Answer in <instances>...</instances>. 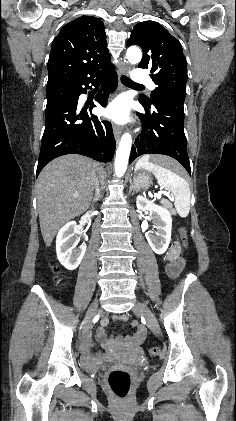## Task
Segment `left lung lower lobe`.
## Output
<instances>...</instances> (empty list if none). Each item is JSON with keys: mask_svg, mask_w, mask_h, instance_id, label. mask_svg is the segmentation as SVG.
<instances>
[{"mask_svg": "<svg viewBox=\"0 0 236 421\" xmlns=\"http://www.w3.org/2000/svg\"><path fill=\"white\" fill-rule=\"evenodd\" d=\"M185 98L174 93L162 94L154 104L145 107V114L137 113L142 122L141 136L131 149V163L143 154H163L178 160L191 175L184 133Z\"/></svg>", "mask_w": 236, "mask_h": 421, "instance_id": "0a47b994", "label": "left lung lower lobe"}]
</instances>
